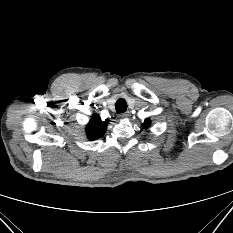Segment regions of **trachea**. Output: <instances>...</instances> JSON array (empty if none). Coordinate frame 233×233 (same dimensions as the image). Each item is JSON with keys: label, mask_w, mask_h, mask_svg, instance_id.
Wrapping results in <instances>:
<instances>
[{"label": "trachea", "mask_w": 233, "mask_h": 233, "mask_svg": "<svg viewBox=\"0 0 233 233\" xmlns=\"http://www.w3.org/2000/svg\"><path fill=\"white\" fill-rule=\"evenodd\" d=\"M116 112L123 113L127 110V103L124 99L117 100L115 104Z\"/></svg>", "instance_id": "1"}]
</instances>
